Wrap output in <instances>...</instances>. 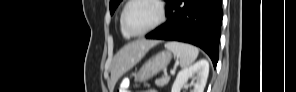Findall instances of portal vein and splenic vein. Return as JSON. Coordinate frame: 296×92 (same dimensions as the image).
Wrapping results in <instances>:
<instances>
[{
    "label": "portal vein and splenic vein",
    "mask_w": 296,
    "mask_h": 92,
    "mask_svg": "<svg viewBox=\"0 0 296 92\" xmlns=\"http://www.w3.org/2000/svg\"><path fill=\"white\" fill-rule=\"evenodd\" d=\"M171 74H175V70H171V72H170Z\"/></svg>",
    "instance_id": "18ae733b"
}]
</instances>
